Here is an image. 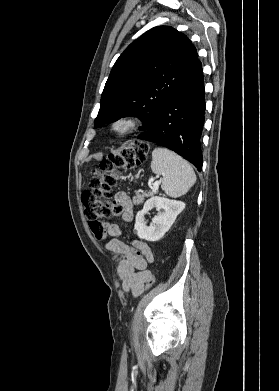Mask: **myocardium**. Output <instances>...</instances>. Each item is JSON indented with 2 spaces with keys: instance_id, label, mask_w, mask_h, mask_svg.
Returning a JSON list of instances; mask_svg holds the SVG:
<instances>
[{
  "instance_id": "1",
  "label": "myocardium",
  "mask_w": 279,
  "mask_h": 391,
  "mask_svg": "<svg viewBox=\"0 0 279 391\" xmlns=\"http://www.w3.org/2000/svg\"><path fill=\"white\" fill-rule=\"evenodd\" d=\"M139 121L133 116H122L111 124V131L117 137H124L138 126Z\"/></svg>"
}]
</instances>
